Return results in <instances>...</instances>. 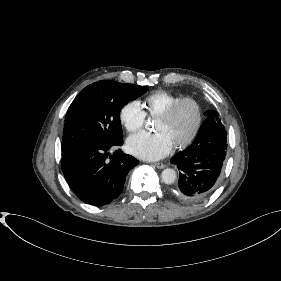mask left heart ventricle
Masks as SVG:
<instances>
[{"instance_id":"1","label":"left heart ventricle","mask_w":281,"mask_h":281,"mask_svg":"<svg viewBox=\"0 0 281 281\" xmlns=\"http://www.w3.org/2000/svg\"><path fill=\"white\" fill-rule=\"evenodd\" d=\"M195 120L194 106L190 103H185L169 119L156 118L154 130L164 133L172 145H175L190 135L195 125Z\"/></svg>"}]
</instances>
